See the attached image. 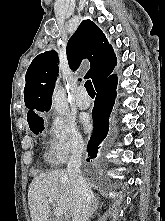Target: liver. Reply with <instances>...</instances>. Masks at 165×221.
Here are the masks:
<instances>
[{
    "label": "liver",
    "instance_id": "liver-1",
    "mask_svg": "<svg viewBox=\"0 0 165 221\" xmlns=\"http://www.w3.org/2000/svg\"><path fill=\"white\" fill-rule=\"evenodd\" d=\"M50 198L63 210L66 219L73 218L75 194L64 170L41 173L30 183L28 204L32 221H49Z\"/></svg>",
    "mask_w": 165,
    "mask_h": 221
}]
</instances>
